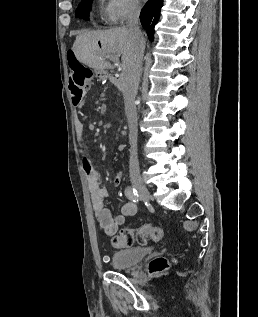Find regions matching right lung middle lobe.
Returning <instances> with one entry per match:
<instances>
[{
  "mask_svg": "<svg viewBox=\"0 0 258 317\" xmlns=\"http://www.w3.org/2000/svg\"><path fill=\"white\" fill-rule=\"evenodd\" d=\"M88 11H89V0H87L86 2H83L77 12H76V16L83 18V19H87L88 18Z\"/></svg>",
  "mask_w": 258,
  "mask_h": 317,
  "instance_id": "dd1d6c3e",
  "label": "right lung middle lobe"
}]
</instances>
